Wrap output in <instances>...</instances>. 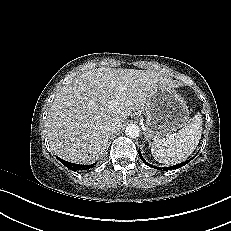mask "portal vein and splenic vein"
Here are the masks:
<instances>
[{
	"instance_id": "portal-vein-and-splenic-vein-1",
	"label": "portal vein and splenic vein",
	"mask_w": 231,
	"mask_h": 231,
	"mask_svg": "<svg viewBox=\"0 0 231 231\" xmlns=\"http://www.w3.org/2000/svg\"><path fill=\"white\" fill-rule=\"evenodd\" d=\"M122 90V89H121ZM118 101H119V97H117V99L115 100H111L108 102V105L111 106V107H114L115 105L118 104Z\"/></svg>"
}]
</instances>
